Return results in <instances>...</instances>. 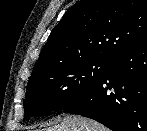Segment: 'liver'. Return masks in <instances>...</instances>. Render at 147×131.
Here are the masks:
<instances>
[{"label":"liver","mask_w":147,"mask_h":131,"mask_svg":"<svg viewBox=\"0 0 147 131\" xmlns=\"http://www.w3.org/2000/svg\"><path fill=\"white\" fill-rule=\"evenodd\" d=\"M44 130L45 131H108V129L105 128L100 123L76 115H67L63 118V120L59 124Z\"/></svg>","instance_id":"6515ba94"}]
</instances>
